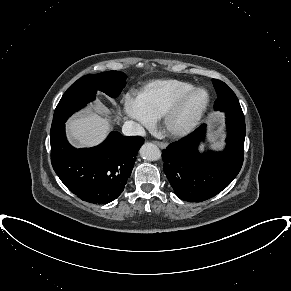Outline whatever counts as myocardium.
I'll use <instances>...</instances> for the list:
<instances>
[{"label":"myocardium","instance_id":"myocardium-1","mask_svg":"<svg viewBox=\"0 0 291 291\" xmlns=\"http://www.w3.org/2000/svg\"><path fill=\"white\" fill-rule=\"evenodd\" d=\"M203 91L206 94V101L198 113L193 117V119L182 127H174L173 120L178 112L181 110L186 101L195 92ZM211 102V97L209 91L204 87H192L179 95L163 112L160 117V126L162 132L171 138H182L190 133H192L200 124L203 117L205 116Z\"/></svg>","mask_w":291,"mask_h":291}]
</instances>
